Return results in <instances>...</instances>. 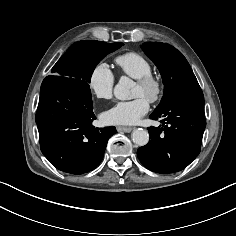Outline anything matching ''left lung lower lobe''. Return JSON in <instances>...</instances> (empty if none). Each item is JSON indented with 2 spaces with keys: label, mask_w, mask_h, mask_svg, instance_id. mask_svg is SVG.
Returning <instances> with one entry per match:
<instances>
[{
  "label": "left lung lower lobe",
  "mask_w": 236,
  "mask_h": 236,
  "mask_svg": "<svg viewBox=\"0 0 236 236\" xmlns=\"http://www.w3.org/2000/svg\"><path fill=\"white\" fill-rule=\"evenodd\" d=\"M149 117L164 118L163 126L148 128L149 143L137 151L140 162L162 174L186 168L200 153L206 127L202 90L192 88L178 93Z\"/></svg>",
  "instance_id": "left-lung-lower-lobe-1"
}]
</instances>
